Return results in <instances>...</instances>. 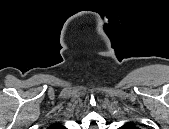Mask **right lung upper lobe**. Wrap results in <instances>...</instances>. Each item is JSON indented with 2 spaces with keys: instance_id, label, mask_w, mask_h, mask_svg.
Masks as SVG:
<instances>
[{
  "instance_id": "cb5924a9",
  "label": "right lung upper lobe",
  "mask_w": 169,
  "mask_h": 129,
  "mask_svg": "<svg viewBox=\"0 0 169 129\" xmlns=\"http://www.w3.org/2000/svg\"><path fill=\"white\" fill-rule=\"evenodd\" d=\"M63 126H61L60 124H53L50 126V129H62Z\"/></svg>"
}]
</instances>
